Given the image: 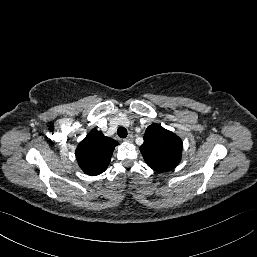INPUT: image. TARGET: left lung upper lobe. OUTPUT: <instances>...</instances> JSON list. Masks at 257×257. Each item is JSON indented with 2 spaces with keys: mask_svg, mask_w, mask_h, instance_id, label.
I'll return each mask as SVG.
<instances>
[{
  "mask_svg": "<svg viewBox=\"0 0 257 257\" xmlns=\"http://www.w3.org/2000/svg\"><path fill=\"white\" fill-rule=\"evenodd\" d=\"M140 151L150 168L167 172L181 161L182 140L161 125L152 124L146 129Z\"/></svg>",
  "mask_w": 257,
  "mask_h": 257,
  "instance_id": "1",
  "label": "left lung upper lobe"
}]
</instances>
